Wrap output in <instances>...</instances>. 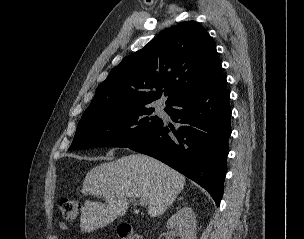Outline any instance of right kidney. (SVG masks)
Returning <instances> with one entry per match:
<instances>
[{
  "mask_svg": "<svg viewBox=\"0 0 304 239\" xmlns=\"http://www.w3.org/2000/svg\"><path fill=\"white\" fill-rule=\"evenodd\" d=\"M166 227L180 239H195L196 219L193 210L189 207L181 208L168 219Z\"/></svg>",
  "mask_w": 304,
  "mask_h": 239,
  "instance_id": "obj_1",
  "label": "right kidney"
}]
</instances>
